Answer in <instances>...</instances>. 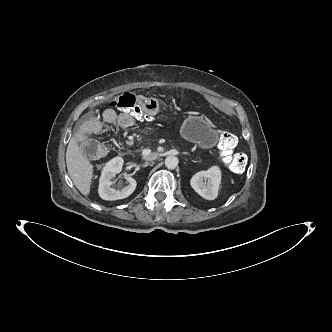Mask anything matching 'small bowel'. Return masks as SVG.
<instances>
[{
    "mask_svg": "<svg viewBox=\"0 0 332 332\" xmlns=\"http://www.w3.org/2000/svg\"><path fill=\"white\" fill-rule=\"evenodd\" d=\"M138 105L141 109L153 115H158L162 111L161 104L147 95L139 97ZM103 120L109 124L115 123L123 129L130 128L134 124V119L126 113L117 114L113 110L106 111L103 115Z\"/></svg>",
    "mask_w": 332,
    "mask_h": 332,
    "instance_id": "1",
    "label": "small bowel"
}]
</instances>
